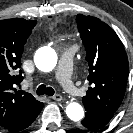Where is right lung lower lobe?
Here are the masks:
<instances>
[{
  "label": "right lung lower lobe",
  "mask_w": 133,
  "mask_h": 133,
  "mask_svg": "<svg viewBox=\"0 0 133 133\" xmlns=\"http://www.w3.org/2000/svg\"><path fill=\"white\" fill-rule=\"evenodd\" d=\"M43 105L44 104L41 102L35 109L31 110L21 121H19L16 125L7 130L9 132L15 133L30 126L41 112Z\"/></svg>",
  "instance_id": "98d812e1"
}]
</instances>
